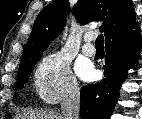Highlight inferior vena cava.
<instances>
[{
  "mask_svg": "<svg viewBox=\"0 0 142 119\" xmlns=\"http://www.w3.org/2000/svg\"><path fill=\"white\" fill-rule=\"evenodd\" d=\"M80 91L75 85L71 86L61 102L64 119H80Z\"/></svg>",
  "mask_w": 142,
  "mask_h": 119,
  "instance_id": "inferior-vena-cava-1",
  "label": "inferior vena cava"
}]
</instances>
